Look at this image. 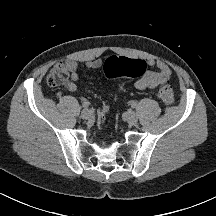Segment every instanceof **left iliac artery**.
<instances>
[{
    "label": "left iliac artery",
    "instance_id": "44dca946",
    "mask_svg": "<svg viewBox=\"0 0 216 216\" xmlns=\"http://www.w3.org/2000/svg\"><path fill=\"white\" fill-rule=\"evenodd\" d=\"M131 106H132L133 108H136L137 102H136V101H132V102H131Z\"/></svg>",
    "mask_w": 216,
    "mask_h": 216
}]
</instances>
